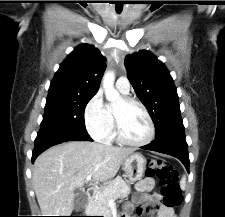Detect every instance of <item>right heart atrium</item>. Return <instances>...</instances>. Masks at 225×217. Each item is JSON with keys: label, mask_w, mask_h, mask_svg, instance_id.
Returning a JSON list of instances; mask_svg holds the SVG:
<instances>
[{"label": "right heart atrium", "mask_w": 225, "mask_h": 217, "mask_svg": "<svg viewBox=\"0 0 225 217\" xmlns=\"http://www.w3.org/2000/svg\"><path fill=\"white\" fill-rule=\"evenodd\" d=\"M84 122L88 133L95 139L104 141L113 130L114 122L98 91L86 104Z\"/></svg>", "instance_id": "1"}]
</instances>
